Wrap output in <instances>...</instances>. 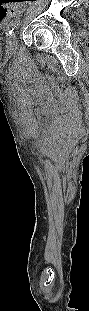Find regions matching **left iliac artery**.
<instances>
[{
  "mask_svg": "<svg viewBox=\"0 0 89 311\" xmlns=\"http://www.w3.org/2000/svg\"><path fill=\"white\" fill-rule=\"evenodd\" d=\"M19 23H20L19 19H15L10 22L7 28V32H6L7 37L12 34L13 30L19 25Z\"/></svg>",
  "mask_w": 89,
  "mask_h": 311,
  "instance_id": "1",
  "label": "left iliac artery"
}]
</instances>
